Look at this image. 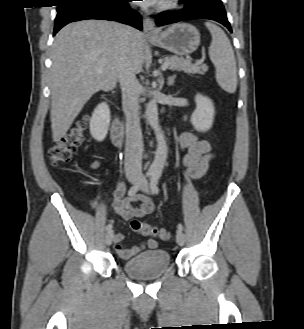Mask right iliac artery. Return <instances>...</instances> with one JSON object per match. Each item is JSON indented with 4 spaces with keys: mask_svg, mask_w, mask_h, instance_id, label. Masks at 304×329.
<instances>
[{
    "mask_svg": "<svg viewBox=\"0 0 304 329\" xmlns=\"http://www.w3.org/2000/svg\"><path fill=\"white\" fill-rule=\"evenodd\" d=\"M152 175L151 172H147L145 176H143L135 185H133L129 191H128V195L129 196H133L137 193V191L139 190V188L142 186V184L146 181V178L150 177ZM112 229V224H108L106 226V230L110 231Z\"/></svg>",
    "mask_w": 304,
    "mask_h": 329,
    "instance_id": "obj_1",
    "label": "right iliac artery"
}]
</instances>
